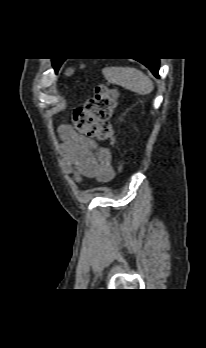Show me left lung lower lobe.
Returning a JSON list of instances; mask_svg holds the SVG:
<instances>
[{
	"mask_svg": "<svg viewBox=\"0 0 206 348\" xmlns=\"http://www.w3.org/2000/svg\"><path fill=\"white\" fill-rule=\"evenodd\" d=\"M138 61L144 64L146 67H148L156 77H159V59H143Z\"/></svg>",
	"mask_w": 206,
	"mask_h": 348,
	"instance_id": "obj_1",
	"label": "left lung lower lobe"
}]
</instances>
